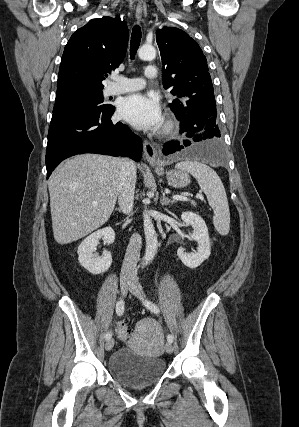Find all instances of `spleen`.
Listing matches in <instances>:
<instances>
[{
    "instance_id": "1",
    "label": "spleen",
    "mask_w": 299,
    "mask_h": 427,
    "mask_svg": "<svg viewBox=\"0 0 299 427\" xmlns=\"http://www.w3.org/2000/svg\"><path fill=\"white\" fill-rule=\"evenodd\" d=\"M175 168L189 172L197 180L213 209L215 229L220 235L226 236L230 229V211L226 191L218 174L211 167L195 160L181 161Z\"/></svg>"
}]
</instances>
